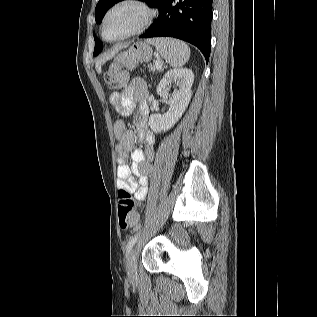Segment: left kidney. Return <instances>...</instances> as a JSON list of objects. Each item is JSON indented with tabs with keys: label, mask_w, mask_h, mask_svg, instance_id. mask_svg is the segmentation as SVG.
<instances>
[{
	"label": "left kidney",
	"mask_w": 317,
	"mask_h": 317,
	"mask_svg": "<svg viewBox=\"0 0 317 317\" xmlns=\"http://www.w3.org/2000/svg\"><path fill=\"white\" fill-rule=\"evenodd\" d=\"M194 74L191 69H173L168 71L159 85L157 93L168 101L169 110L161 114H152L149 118V126L155 133L167 131L172 128L185 112L192 96ZM175 84L178 89L169 94V87ZM169 98V99H168Z\"/></svg>",
	"instance_id": "left-kidney-1"
}]
</instances>
